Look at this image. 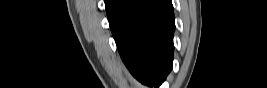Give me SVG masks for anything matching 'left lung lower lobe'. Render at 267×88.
Masks as SVG:
<instances>
[{"mask_svg":"<svg viewBox=\"0 0 267 88\" xmlns=\"http://www.w3.org/2000/svg\"><path fill=\"white\" fill-rule=\"evenodd\" d=\"M120 56L143 84L159 86L172 67L171 0H105Z\"/></svg>","mask_w":267,"mask_h":88,"instance_id":"left-lung-lower-lobe-1","label":"left lung lower lobe"}]
</instances>
